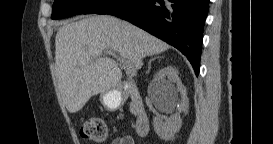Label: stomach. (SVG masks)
<instances>
[{"instance_id": "0dacf381", "label": "stomach", "mask_w": 273, "mask_h": 144, "mask_svg": "<svg viewBox=\"0 0 273 144\" xmlns=\"http://www.w3.org/2000/svg\"><path fill=\"white\" fill-rule=\"evenodd\" d=\"M100 101L107 111H115L123 104V95L119 90L115 89L101 94Z\"/></svg>"}]
</instances>
